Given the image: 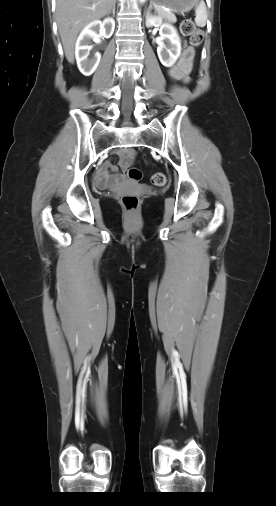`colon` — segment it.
Here are the masks:
<instances>
[{
    "label": "colon",
    "mask_w": 276,
    "mask_h": 506,
    "mask_svg": "<svg viewBox=\"0 0 276 506\" xmlns=\"http://www.w3.org/2000/svg\"><path fill=\"white\" fill-rule=\"evenodd\" d=\"M180 31L184 36L189 38L190 43L194 46H199L204 41L203 31L197 29L190 19L186 18L181 21ZM128 175L135 181H139L142 178V172L137 168H130ZM152 182L156 186H162L167 182L166 175L161 172L155 173L152 176ZM121 202L128 212H134L138 208L139 198L136 195L126 194L122 196Z\"/></svg>",
    "instance_id": "colon-1"
}]
</instances>
